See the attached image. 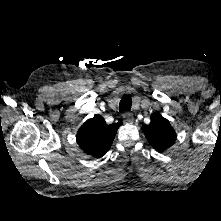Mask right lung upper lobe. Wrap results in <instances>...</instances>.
<instances>
[{"label": "right lung upper lobe", "instance_id": "1", "mask_svg": "<svg viewBox=\"0 0 221 221\" xmlns=\"http://www.w3.org/2000/svg\"><path fill=\"white\" fill-rule=\"evenodd\" d=\"M121 125V121L108 125L102 116L95 115L80 127L77 132V142L85 152L100 158L110 149Z\"/></svg>", "mask_w": 221, "mask_h": 221}]
</instances>
